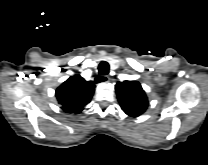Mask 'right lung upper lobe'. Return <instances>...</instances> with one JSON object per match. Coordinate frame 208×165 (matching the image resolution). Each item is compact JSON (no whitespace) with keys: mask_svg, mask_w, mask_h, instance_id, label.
Masks as SVG:
<instances>
[{"mask_svg":"<svg viewBox=\"0 0 208 165\" xmlns=\"http://www.w3.org/2000/svg\"><path fill=\"white\" fill-rule=\"evenodd\" d=\"M94 90L95 85L92 81H86L76 74L57 88L56 98L63 111L79 114L90 102Z\"/></svg>","mask_w":208,"mask_h":165,"instance_id":"right-lung-upper-lobe-1","label":"right lung upper lobe"}]
</instances>
